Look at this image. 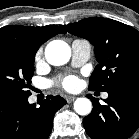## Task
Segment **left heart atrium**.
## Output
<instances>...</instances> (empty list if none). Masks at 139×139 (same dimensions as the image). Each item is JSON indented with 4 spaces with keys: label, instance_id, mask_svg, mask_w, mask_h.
Here are the masks:
<instances>
[{
    "label": "left heart atrium",
    "instance_id": "obj_1",
    "mask_svg": "<svg viewBox=\"0 0 139 139\" xmlns=\"http://www.w3.org/2000/svg\"><path fill=\"white\" fill-rule=\"evenodd\" d=\"M60 84L66 90H75L79 85V79L75 76H67L61 81Z\"/></svg>",
    "mask_w": 139,
    "mask_h": 139
}]
</instances>
